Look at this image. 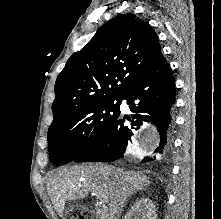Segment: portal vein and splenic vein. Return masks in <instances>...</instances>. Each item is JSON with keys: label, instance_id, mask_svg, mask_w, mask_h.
I'll list each match as a JSON object with an SVG mask.
<instances>
[{"label": "portal vein and splenic vein", "instance_id": "1", "mask_svg": "<svg viewBox=\"0 0 221 219\" xmlns=\"http://www.w3.org/2000/svg\"><path fill=\"white\" fill-rule=\"evenodd\" d=\"M100 204H103V205H104V204H105V201L100 199Z\"/></svg>", "mask_w": 221, "mask_h": 219}]
</instances>
